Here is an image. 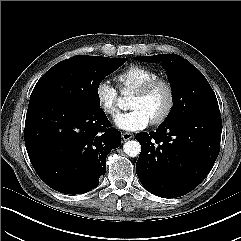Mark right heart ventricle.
<instances>
[{
  "label": "right heart ventricle",
  "mask_w": 241,
  "mask_h": 241,
  "mask_svg": "<svg viewBox=\"0 0 241 241\" xmlns=\"http://www.w3.org/2000/svg\"><path fill=\"white\" fill-rule=\"evenodd\" d=\"M158 77V72L152 68L142 65H130L116 76V80L122 90L135 91L140 86Z\"/></svg>",
  "instance_id": "right-heart-ventricle-1"
}]
</instances>
